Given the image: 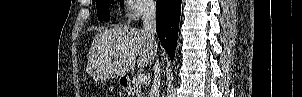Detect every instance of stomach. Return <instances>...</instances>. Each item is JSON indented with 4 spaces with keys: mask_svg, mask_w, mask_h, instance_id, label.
<instances>
[{
    "mask_svg": "<svg viewBox=\"0 0 302 97\" xmlns=\"http://www.w3.org/2000/svg\"><path fill=\"white\" fill-rule=\"evenodd\" d=\"M127 77L126 76H121L118 79V83L120 84V86L125 87L127 85Z\"/></svg>",
    "mask_w": 302,
    "mask_h": 97,
    "instance_id": "1",
    "label": "stomach"
}]
</instances>
